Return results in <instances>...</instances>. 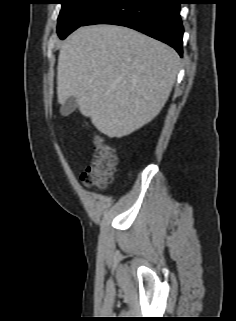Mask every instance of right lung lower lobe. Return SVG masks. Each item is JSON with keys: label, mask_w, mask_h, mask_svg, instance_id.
Returning a JSON list of instances; mask_svg holds the SVG:
<instances>
[{"label": "right lung lower lobe", "mask_w": 236, "mask_h": 321, "mask_svg": "<svg viewBox=\"0 0 236 321\" xmlns=\"http://www.w3.org/2000/svg\"><path fill=\"white\" fill-rule=\"evenodd\" d=\"M180 4V0H109L81 26H126L170 45L182 56Z\"/></svg>", "instance_id": "obj_1"}]
</instances>
